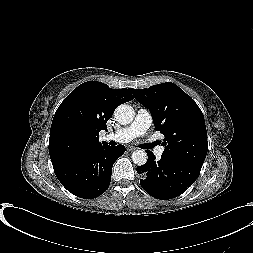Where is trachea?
Listing matches in <instances>:
<instances>
[{"instance_id": "1", "label": "trachea", "mask_w": 253, "mask_h": 253, "mask_svg": "<svg viewBox=\"0 0 253 253\" xmlns=\"http://www.w3.org/2000/svg\"><path fill=\"white\" fill-rule=\"evenodd\" d=\"M155 145H156V142L152 143V144H146L145 148L150 149V148L154 147Z\"/></svg>"}]
</instances>
